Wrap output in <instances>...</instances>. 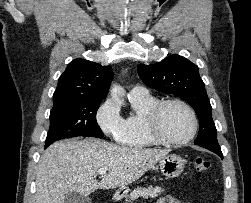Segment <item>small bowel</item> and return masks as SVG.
Listing matches in <instances>:
<instances>
[{
    "mask_svg": "<svg viewBox=\"0 0 251 203\" xmlns=\"http://www.w3.org/2000/svg\"><path fill=\"white\" fill-rule=\"evenodd\" d=\"M157 203H182V202L174 196L166 195V196L160 197Z\"/></svg>",
    "mask_w": 251,
    "mask_h": 203,
    "instance_id": "1",
    "label": "small bowel"
}]
</instances>
